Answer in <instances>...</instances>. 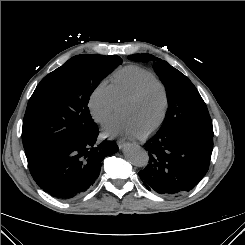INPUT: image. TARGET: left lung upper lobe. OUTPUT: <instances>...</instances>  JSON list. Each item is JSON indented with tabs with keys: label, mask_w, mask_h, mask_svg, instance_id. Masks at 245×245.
<instances>
[{
	"label": "left lung upper lobe",
	"mask_w": 245,
	"mask_h": 245,
	"mask_svg": "<svg viewBox=\"0 0 245 245\" xmlns=\"http://www.w3.org/2000/svg\"><path fill=\"white\" fill-rule=\"evenodd\" d=\"M133 61L154 63V70L164 84L168 99L166 118L158 132L189 127L213 135L212 121L205 102L193 83L166 61L151 54L129 55Z\"/></svg>",
	"instance_id": "left-lung-upper-lobe-1"
}]
</instances>
